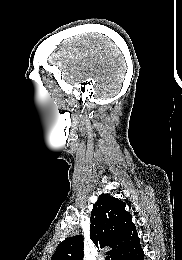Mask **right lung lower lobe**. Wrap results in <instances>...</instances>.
<instances>
[{"instance_id":"obj_1","label":"right lung lower lobe","mask_w":182,"mask_h":260,"mask_svg":"<svg viewBox=\"0 0 182 260\" xmlns=\"http://www.w3.org/2000/svg\"><path fill=\"white\" fill-rule=\"evenodd\" d=\"M115 260H144L140 240H137L132 246L121 252Z\"/></svg>"}]
</instances>
